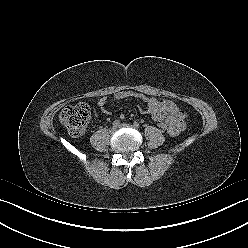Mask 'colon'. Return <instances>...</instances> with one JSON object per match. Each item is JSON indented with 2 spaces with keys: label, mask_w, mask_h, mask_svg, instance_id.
I'll use <instances>...</instances> for the list:
<instances>
[{
  "label": "colon",
  "mask_w": 248,
  "mask_h": 248,
  "mask_svg": "<svg viewBox=\"0 0 248 248\" xmlns=\"http://www.w3.org/2000/svg\"><path fill=\"white\" fill-rule=\"evenodd\" d=\"M59 119L72 136L79 137L86 131L90 119V109L85 103L67 106L61 111ZM158 126L163 132L170 131L169 125L165 121L158 122Z\"/></svg>",
  "instance_id": "obj_1"
}]
</instances>
